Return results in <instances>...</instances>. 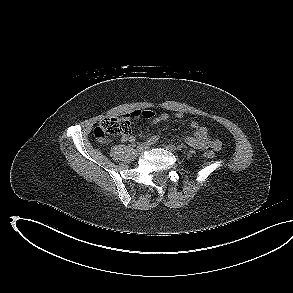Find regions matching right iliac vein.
<instances>
[{
    "mask_svg": "<svg viewBox=\"0 0 293 293\" xmlns=\"http://www.w3.org/2000/svg\"><path fill=\"white\" fill-rule=\"evenodd\" d=\"M149 144L147 143H142L141 145H139L136 149V153L137 154H142L143 152H145L148 148H149Z\"/></svg>",
    "mask_w": 293,
    "mask_h": 293,
    "instance_id": "63e3f726",
    "label": "right iliac vein"
}]
</instances>
